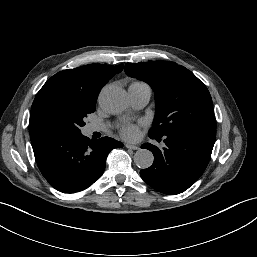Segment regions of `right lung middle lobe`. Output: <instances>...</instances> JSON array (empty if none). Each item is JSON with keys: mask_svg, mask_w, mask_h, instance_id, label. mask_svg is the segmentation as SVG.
Instances as JSON below:
<instances>
[{"mask_svg": "<svg viewBox=\"0 0 257 257\" xmlns=\"http://www.w3.org/2000/svg\"><path fill=\"white\" fill-rule=\"evenodd\" d=\"M96 102L68 88L51 85L41 88L32 104L29 132L38 135L79 134L83 119L95 111Z\"/></svg>", "mask_w": 257, "mask_h": 257, "instance_id": "obj_1", "label": "right lung middle lobe"}]
</instances>
